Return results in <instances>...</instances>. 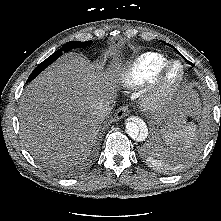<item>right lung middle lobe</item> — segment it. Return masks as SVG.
Returning <instances> with one entry per match:
<instances>
[{"label":"right lung middle lobe","instance_id":"1","mask_svg":"<svg viewBox=\"0 0 221 221\" xmlns=\"http://www.w3.org/2000/svg\"><path fill=\"white\" fill-rule=\"evenodd\" d=\"M92 43V41L87 42H80V41H70L67 42L57 50L55 53H53L51 56H49L47 59H45L42 63H40L30 74L28 81H31L34 79L42 70H44L47 66H49L52 62H54L58 57L62 55V52L68 51L72 48H79V47H85Z\"/></svg>","mask_w":221,"mask_h":221}]
</instances>
